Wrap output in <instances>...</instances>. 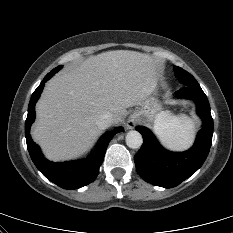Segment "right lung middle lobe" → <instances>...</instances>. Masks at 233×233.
Here are the masks:
<instances>
[{
	"instance_id": "right-lung-middle-lobe-1",
	"label": "right lung middle lobe",
	"mask_w": 233,
	"mask_h": 233,
	"mask_svg": "<svg viewBox=\"0 0 233 233\" xmlns=\"http://www.w3.org/2000/svg\"><path fill=\"white\" fill-rule=\"evenodd\" d=\"M61 68H62V65H60V66L54 68L49 74H53V75H54V74H55L56 72H58Z\"/></svg>"
}]
</instances>
